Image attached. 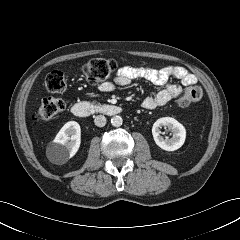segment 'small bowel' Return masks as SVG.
<instances>
[{"label":"small bowel","mask_w":240,"mask_h":240,"mask_svg":"<svg viewBox=\"0 0 240 240\" xmlns=\"http://www.w3.org/2000/svg\"><path fill=\"white\" fill-rule=\"evenodd\" d=\"M172 77L177 78L181 85L186 87L197 83V77L182 66H166L163 68L124 66L117 71L112 81L102 83L99 90L111 92L117 87L130 85L136 79L146 80L162 87L156 95L146 97L142 102L144 109L152 110L169 103L181 95L182 87L179 84L170 82Z\"/></svg>","instance_id":"small-bowel-1"}]
</instances>
